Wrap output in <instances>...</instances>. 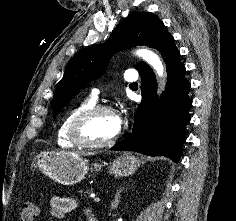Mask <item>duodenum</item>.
Instances as JSON below:
<instances>
[{
    "instance_id": "1",
    "label": "duodenum",
    "mask_w": 236,
    "mask_h": 221,
    "mask_svg": "<svg viewBox=\"0 0 236 221\" xmlns=\"http://www.w3.org/2000/svg\"><path fill=\"white\" fill-rule=\"evenodd\" d=\"M88 221H99L97 218H95V217H90L89 219H88Z\"/></svg>"
}]
</instances>
